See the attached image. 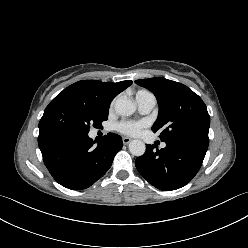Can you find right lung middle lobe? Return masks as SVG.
Wrapping results in <instances>:
<instances>
[{
  "label": "right lung middle lobe",
  "mask_w": 248,
  "mask_h": 248,
  "mask_svg": "<svg viewBox=\"0 0 248 248\" xmlns=\"http://www.w3.org/2000/svg\"><path fill=\"white\" fill-rule=\"evenodd\" d=\"M108 112L99 113L90 106L64 96H56L46 107L39 122V132L66 131L88 134L90 126L100 127Z\"/></svg>",
  "instance_id": "1"
}]
</instances>
